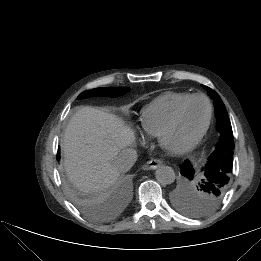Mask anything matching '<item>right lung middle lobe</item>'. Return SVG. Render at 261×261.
I'll use <instances>...</instances> for the list:
<instances>
[{
	"label": "right lung middle lobe",
	"mask_w": 261,
	"mask_h": 261,
	"mask_svg": "<svg viewBox=\"0 0 261 261\" xmlns=\"http://www.w3.org/2000/svg\"><path fill=\"white\" fill-rule=\"evenodd\" d=\"M129 91V88H96L81 93L78 98L92 97V96H109L118 97Z\"/></svg>",
	"instance_id": "dd1d6c3e"
}]
</instances>
